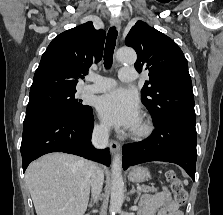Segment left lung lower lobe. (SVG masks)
Listing matches in <instances>:
<instances>
[{"label":"left lung lower lobe","instance_id":"0a47b994","mask_svg":"<svg viewBox=\"0 0 223 215\" xmlns=\"http://www.w3.org/2000/svg\"><path fill=\"white\" fill-rule=\"evenodd\" d=\"M192 120L168 118L154 122L150 137L123 146V168L149 161H165L180 165L195 181L197 133Z\"/></svg>","mask_w":223,"mask_h":215}]
</instances>
